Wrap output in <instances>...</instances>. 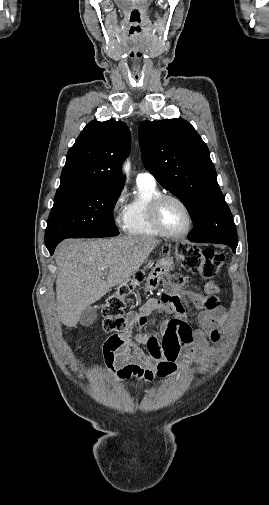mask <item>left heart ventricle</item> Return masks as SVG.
I'll return each instance as SVG.
<instances>
[{
  "instance_id": "1",
  "label": "left heart ventricle",
  "mask_w": 269,
  "mask_h": 505,
  "mask_svg": "<svg viewBox=\"0 0 269 505\" xmlns=\"http://www.w3.org/2000/svg\"><path fill=\"white\" fill-rule=\"evenodd\" d=\"M159 217L164 228L170 232L178 233L188 225V216L184 208L173 200L162 203Z\"/></svg>"
}]
</instances>
